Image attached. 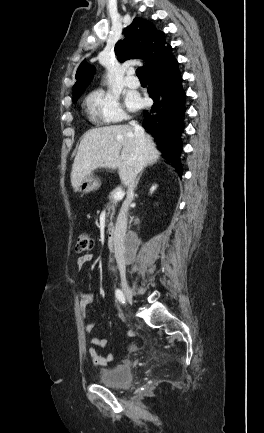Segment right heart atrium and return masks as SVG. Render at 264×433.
Returning <instances> with one entry per match:
<instances>
[{
  "instance_id": "obj_1",
  "label": "right heart atrium",
  "mask_w": 264,
  "mask_h": 433,
  "mask_svg": "<svg viewBox=\"0 0 264 433\" xmlns=\"http://www.w3.org/2000/svg\"><path fill=\"white\" fill-rule=\"evenodd\" d=\"M86 105L91 117L100 123H117L128 119L119 97L112 92L95 90L90 93Z\"/></svg>"
}]
</instances>
